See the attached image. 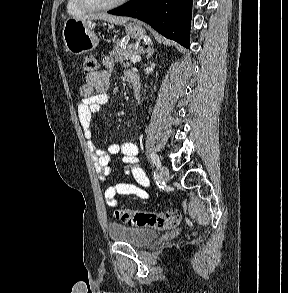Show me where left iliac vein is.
<instances>
[{
	"instance_id": "left-iliac-vein-1",
	"label": "left iliac vein",
	"mask_w": 288,
	"mask_h": 293,
	"mask_svg": "<svg viewBox=\"0 0 288 293\" xmlns=\"http://www.w3.org/2000/svg\"><path fill=\"white\" fill-rule=\"evenodd\" d=\"M159 176L160 179L164 182L168 181L169 179V170L166 166L162 165L159 169Z\"/></svg>"
}]
</instances>
